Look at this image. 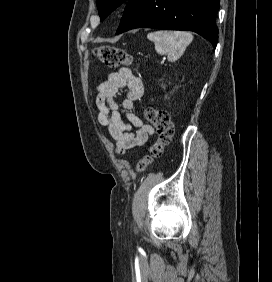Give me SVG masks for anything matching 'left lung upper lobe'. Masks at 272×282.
<instances>
[{"label": "left lung upper lobe", "mask_w": 272, "mask_h": 282, "mask_svg": "<svg viewBox=\"0 0 272 282\" xmlns=\"http://www.w3.org/2000/svg\"><path fill=\"white\" fill-rule=\"evenodd\" d=\"M128 0H97V7L101 21L104 20L113 10Z\"/></svg>", "instance_id": "left-lung-upper-lobe-1"}]
</instances>
